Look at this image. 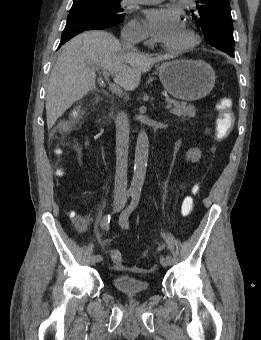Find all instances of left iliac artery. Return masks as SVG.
Returning <instances> with one entry per match:
<instances>
[{"instance_id": "44dca946", "label": "left iliac artery", "mask_w": 261, "mask_h": 340, "mask_svg": "<svg viewBox=\"0 0 261 340\" xmlns=\"http://www.w3.org/2000/svg\"><path fill=\"white\" fill-rule=\"evenodd\" d=\"M139 198H140V193L135 192L132 195V201H131L130 205L128 206V208L125 211H123L121 213L120 218H119V222H120V225L122 227L129 228V216L135 210V208L137 207L138 202H139ZM165 256H166V259L169 263H172L175 260L174 257L168 252L166 253Z\"/></svg>"}]
</instances>
